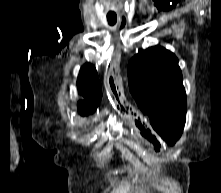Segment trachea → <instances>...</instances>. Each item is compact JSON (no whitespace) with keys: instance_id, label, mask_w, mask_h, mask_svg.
<instances>
[{"instance_id":"1","label":"trachea","mask_w":221,"mask_h":193,"mask_svg":"<svg viewBox=\"0 0 221 193\" xmlns=\"http://www.w3.org/2000/svg\"><path fill=\"white\" fill-rule=\"evenodd\" d=\"M107 20L110 25H114L117 21V15L116 14H108Z\"/></svg>"}]
</instances>
